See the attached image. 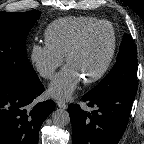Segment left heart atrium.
<instances>
[{"mask_svg":"<svg viewBox=\"0 0 144 144\" xmlns=\"http://www.w3.org/2000/svg\"><path fill=\"white\" fill-rule=\"evenodd\" d=\"M81 79L80 74L68 64L50 85L49 93L58 99H68L77 89Z\"/></svg>","mask_w":144,"mask_h":144,"instance_id":"obj_1","label":"left heart atrium"}]
</instances>
